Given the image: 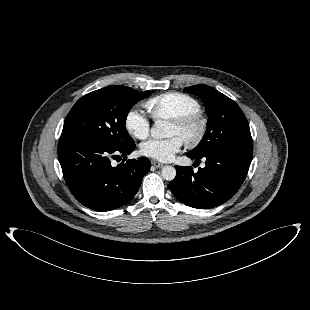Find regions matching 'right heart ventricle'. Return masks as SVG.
Masks as SVG:
<instances>
[{
  "label": "right heart ventricle",
  "instance_id": "right-heart-ventricle-1",
  "mask_svg": "<svg viewBox=\"0 0 310 310\" xmlns=\"http://www.w3.org/2000/svg\"><path fill=\"white\" fill-rule=\"evenodd\" d=\"M146 107L156 120H171L180 115L200 110V104L194 97L176 91L150 98L146 102Z\"/></svg>",
  "mask_w": 310,
  "mask_h": 310
}]
</instances>
